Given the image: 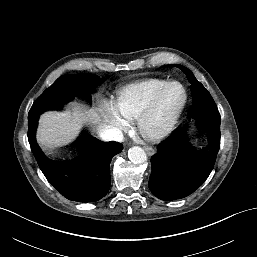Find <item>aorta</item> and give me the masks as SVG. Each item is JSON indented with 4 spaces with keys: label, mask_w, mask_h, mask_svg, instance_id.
I'll return each mask as SVG.
<instances>
[{
    "label": "aorta",
    "mask_w": 257,
    "mask_h": 257,
    "mask_svg": "<svg viewBox=\"0 0 257 257\" xmlns=\"http://www.w3.org/2000/svg\"><path fill=\"white\" fill-rule=\"evenodd\" d=\"M128 157L134 164H141L147 161V155L145 151L138 146H134L129 149Z\"/></svg>",
    "instance_id": "obj_1"
}]
</instances>
